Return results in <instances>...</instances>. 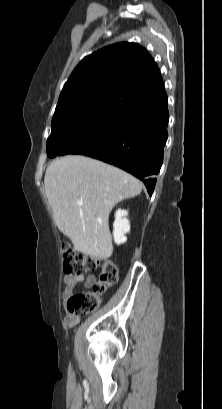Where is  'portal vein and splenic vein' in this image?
Instances as JSON below:
<instances>
[{"mask_svg":"<svg viewBox=\"0 0 222 409\" xmlns=\"http://www.w3.org/2000/svg\"><path fill=\"white\" fill-rule=\"evenodd\" d=\"M77 204L81 206V205H83V201H82V200H78V201H77Z\"/></svg>","mask_w":222,"mask_h":409,"instance_id":"portal-vein-and-splenic-vein-1","label":"portal vein and splenic vein"}]
</instances>
